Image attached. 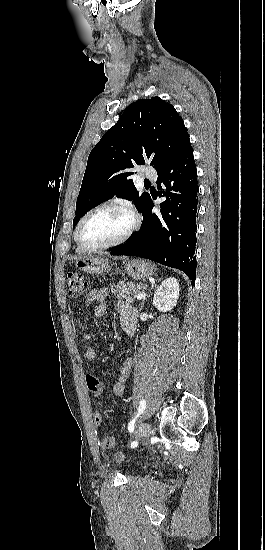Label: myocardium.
<instances>
[{"label":"myocardium","instance_id":"1","mask_svg":"<svg viewBox=\"0 0 265 550\" xmlns=\"http://www.w3.org/2000/svg\"><path fill=\"white\" fill-rule=\"evenodd\" d=\"M102 209H116V210H120V211H123V212L127 213L131 217V220H132L131 226L120 238H118V239H116L112 242H109V243H106V244H99V245H87L80 238L81 228H82L84 222L86 221V219L90 215H92L93 213H95L99 210H102ZM139 227H140V216L138 215V213L132 207H130L127 204L121 203V202H106V203H102L100 205H97V206L93 207L92 209H90L89 211H87L84 214V216L80 219V221L78 222V224L76 226L75 233H74V239H75L77 245L84 251H95V250L109 249V248L118 246V245L126 242L138 230Z\"/></svg>","mask_w":265,"mask_h":550}]
</instances>
